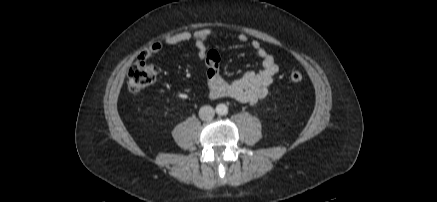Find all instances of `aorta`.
<instances>
[{"instance_id":"aorta-1","label":"aorta","mask_w":437,"mask_h":202,"mask_svg":"<svg viewBox=\"0 0 437 202\" xmlns=\"http://www.w3.org/2000/svg\"><path fill=\"white\" fill-rule=\"evenodd\" d=\"M216 113L218 115H226L228 113L227 105L221 103L216 106Z\"/></svg>"}]
</instances>
